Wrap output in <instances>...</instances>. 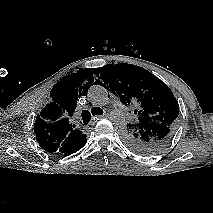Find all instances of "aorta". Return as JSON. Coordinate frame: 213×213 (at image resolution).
I'll list each match as a JSON object with an SVG mask.
<instances>
[{"label":"aorta","instance_id":"obj_1","mask_svg":"<svg viewBox=\"0 0 213 213\" xmlns=\"http://www.w3.org/2000/svg\"><path fill=\"white\" fill-rule=\"evenodd\" d=\"M89 100L97 106H107L109 104V96L107 90L101 85H94L88 91ZM109 119L119 125H125V117L118 109L111 110L109 113Z\"/></svg>","mask_w":213,"mask_h":213}]
</instances>
